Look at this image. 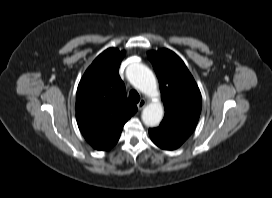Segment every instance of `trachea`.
<instances>
[{"label": "trachea", "instance_id": "obj_1", "mask_svg": "<svg viewBox=\"0 0 272 198\" xmlns=\"http://www.w3.org/2000/svg\"><path fill=\"white\" fill-rule=\"evenodd\" d=\"M129 100L132 103H138L139 102L140 96H139V94H138V92L136 90H131L129 92Z\"/></svg>", "mask_w": 272, "mask_h": 198}]
</instances>
